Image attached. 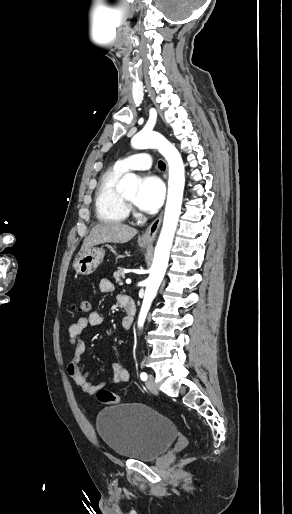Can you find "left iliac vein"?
Instances as JSON below:
<instances>
[{
  "mask_svg": "<svg viewBox=\"0 0 292 514\" xmlns=\"http://www.w3.org/2000/svg\"><path fill=\"white\" fill-rule=\"evenodd\" d=\"M146 387L147 389L151 392V393H158V387L155 383V380H154V376L153 375H149L147 380H146Z\"/></svg>",
  "mask_w": 292,
  "mask_h": 514,
  "instance_id": "4c4485c4",
  "label": "left iliac vein"
}]
</instances>
